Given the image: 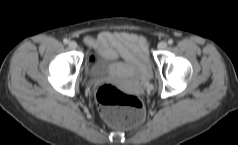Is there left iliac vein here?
Here are the masks:
<instances>
[{
  "label": "left iliac vein",
  "mask_w": 238,
  "mask_h": 145,
  "mask_svg": "<svg viewBox=\"0 0 238 145\" xmlns=\"http://www.w3.org/2000/svg\"><path fill=\"white\" fill-rule=\"evenodd\" d=\"M167 47V43L165 41H161L159 44H158V48L160 50H163Z\"/></svg>",
  "instance_id": "4c4485c4"
}]
</instances>
